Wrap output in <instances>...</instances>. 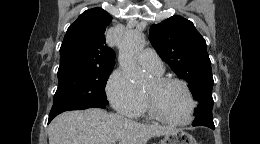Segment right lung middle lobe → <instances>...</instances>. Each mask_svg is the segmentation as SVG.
Returning a JSON list of instances; mask_svg holds the SVG:
<instances>
[{
	"label": "right lung middle lobe",
	"mask_w": 260,
	"mask_h": 144,
	"mask_svg": "<svg viewBox=\"0 0 260 144\" xmlns=\"http://www.w3.org/2000/svg\"><path fill=\"white\" fill-rule=\"evenodd\" d=\"M113 68L58 70V88L49 117L67 110H83L108 104L105 86Z\"/></svg>",
	"instance_id": "obj_1"
}]
</instances>
